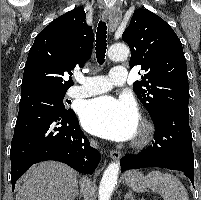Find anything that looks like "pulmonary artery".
I'll list each match as a JSON object with an SVG mask.
<instances>
[{"label":"pulmonary artery","mask_w":201,"mask_h":200,"mask_svg":"<svg viewBox=\"0 0 201 200\" xmlns=\"http://www.w3.org/2000/svg\"><path fill=\"white\" fill-rule=\"evenodd\" d=\"M127 78L126 69L123 66L113 67L108 76H77L79 85L68 89L70 98H86L101 94L110 90L113 86L122 85Z\"/></svg>","instance_id":"1"}]
</instances>
